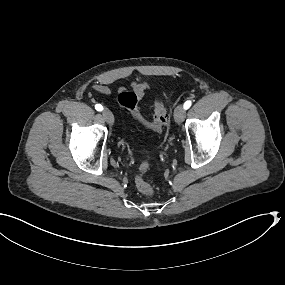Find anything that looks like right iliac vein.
I'll return each instance as SVG.
<instances>
[{"label": "right iliac vein", "mask_w": 285, "mask_h": 285, "mask_svg": "<svg viewBox=\"0 0 285 285\" xmlns=\"http://www.w3.org/2000/svg\"><path fill=\"white\" fill-rule=\"evenodd\" d=\"M102 115L104 117V119L109 123V124H113L114 123V116L113 114L108 110V109H104L102 111Z\"/></svg>", "instance_id": "63e3f726"}]
</instances>
